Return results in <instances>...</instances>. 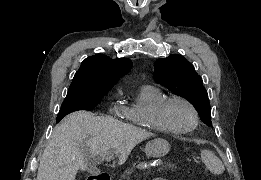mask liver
<instances>
[{
	"instance_id": "1",
	"label": "liver",
	"mask_w": 261,
	"mask_h": 180,
	"mask_svg": "<svg viewBox=\"0 0 261 180\" xmlns=\"http://www.w3.org/2000/svg\"><path fill=\"white\" fill-rule=\"evenodd\" d=\"M154 136L152 132L124 124L113 116L73 112L56 126L44 150L37 180H75L78 170L95 168L97 158L115 150L118 164H125L133 148Z\"/></svg>"
}]
</instances>
